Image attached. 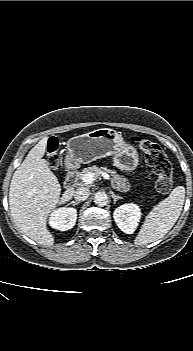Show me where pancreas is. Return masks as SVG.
<instances>
[{
  "label": "pancreas",
  "instance_id": "obj_1",
  "mask_svg": "<svg viewBox=\"0 0 193 351\" xmlns=\"http://www.w3.org/2000/svg\"><path fill=\"white\" fill-rule=\"evenodd\" d=\"M102 172L110 173L111 176H112L113 182H118V181L120 182L122 180L121 177L119 176V174H117L116 171L110 170L107 167H97L96 165L84 168L82 170V172L77 174V177L79 179H82L84 174L93 173L94 177L97 178Z\"/></svg>",
  "mask_w": 193,
  "mask_h": 351
}]
</instances>
